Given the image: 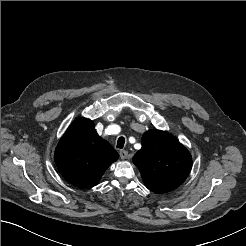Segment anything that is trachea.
<instances>
[{
  "instance_id": "3493384b",
  "label": "trachea",
  "mask_w": 246,
  "mask_h": 246,
  "mask_svg": "<svg viewBox=\"0 0 246 246\" xmlns=\"http://www.w3.org/2000/svg\"><path fill=\"white\" fill-rule=\"evenodd\" d=\"M125 144V138L124 137H119L117 141V148L122 149Z\"/></svg>"
}]
</instances>
